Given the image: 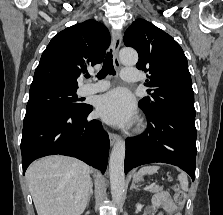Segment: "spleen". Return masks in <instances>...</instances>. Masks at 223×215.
Listing matches in <instances>:
<instances>
[{
  "label": "spleen",
  "mask_w": 223,
  "mask_h": 215,
  "mask_svg": "<svg viewBox=\"0 0 223 215\" xmlns=\"http://www.w3.org/2000/svg\"><path fill=\"white\" fill-rule=\"evenodd\" d=\"M157 169H159V165H145V167H141V169H139L138 173H141V175H145V173H157ZM178 179L181 183L182 189H184V191H188V179L184 171L179 173Z\"/></svg>",
  "instance_id": "spleen-1"
}]
</instances>
